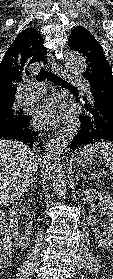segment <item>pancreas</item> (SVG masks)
Masks as SVG:
<instances>
[{"label": "pancreas", "mask_w": 113, "mask_h": 279, "mask_svg": "<svg viewBox=\"0 0 113 279\" xmlns=\"http://www.w3.org/2000/svg\"><path fill=\"white\" fill-rule=\"evenodd\" d=\"M92 179L94 180V181H99V177H94V176H92Z\"/></svg>", "instance_id": "pancreas-1"}]
</instances>
